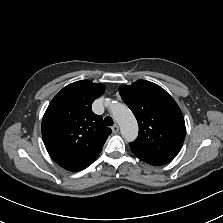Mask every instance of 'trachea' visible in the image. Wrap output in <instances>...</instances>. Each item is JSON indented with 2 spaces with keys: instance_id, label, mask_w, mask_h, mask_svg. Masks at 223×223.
<instances>
[{
  "instance_id": "trachea-1",
  "label": "trachea",
  "mask_w": 223,
  "mask_h": 223,
  "mask_svg": "<svg viewBox=\"0 0 223 223\" xmlns=\"http://www.w3.org/2000/svg\"><path fill=\"white\" fill-rule=\"evenodd\" d=\"M113 119L110 116H107L104 118V124L106 126H112L113 125Z\"/></svg>"
}]
</instances>
